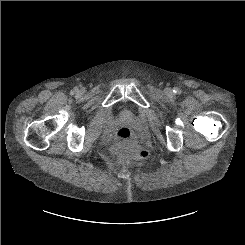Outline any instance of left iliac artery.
<instances>
[{"label":"left iliac artery","mask_w":245,"mask_h":245,"mask_svg":"<svg viewBox=\"0 0 245 245\" xmlns=\"http://www.w3.org/2000/svg\"><path fill=\"white\" fill-rule=\"evenodd\" d=\"M178 91H179L178 89L174 90L175 93H177Z\"/></svg>","instance_id":"obj_1"}]
</instances>
